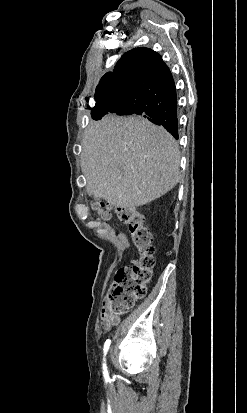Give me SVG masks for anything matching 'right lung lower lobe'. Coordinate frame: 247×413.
I'll use <instances>...</instances> for the list:
<instances>
[{
  "label": "right lung lower lobe",
  "mask_w": 247,
  "mask_h": 413,
  "mask_svg": "<svg viewBox=\"0 0 247 413\" xmlns=\"http://www.w3.org/2000/svg\"><path fill=\"white\" fill-rule=\"evenodd\" d=\"M136 91L134 98L110 97L96 103L92 118L100 120L108 113L117 115L136 114L162 125L178 139L177 94L169 68L153 72H136L128 79Z\"/></svg>",
  "instance_id": "right-lung-lower-lobe-1"
}]
</instances>
